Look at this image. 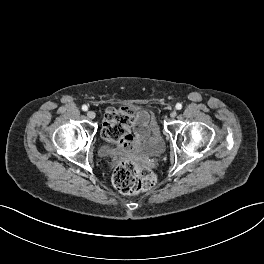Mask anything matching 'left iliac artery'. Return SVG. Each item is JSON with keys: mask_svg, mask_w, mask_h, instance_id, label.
Listing matches in <instances>:
<instances>
[{"mask_svg": "<svg viewBox=\"0 0 264 264\" xmlns=\"http://www.w3.org/2000/svg\"><path fill=\"white\" fill-rule=\"evenodd\" d=\"M175 107H176L177 110H180V109H182V104L181 103H177Z\"/></svg>", "mask_w": 264, "mask_h": 264, "instance_id": "44dca946", "label": "left iliac artery"}]
</instances>
